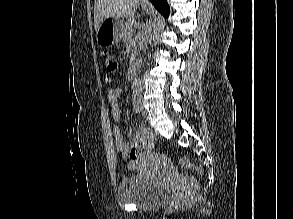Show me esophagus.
<instances>
[{
  "instance_id": "34e87169",
  "label": "esophagus",
  "mask_w": 293,
  "mask_h": 219,
  "mask_svg": "<svg viewBox=\"0 0 293 219\" xmlns=\"http://www.w3.org/2000/svg\"><path fill=\"white\" fill-rule=\"evenodd\" d=\"M143 3L148 4V0H142Z\"/></svg>"
}]
</instances>
